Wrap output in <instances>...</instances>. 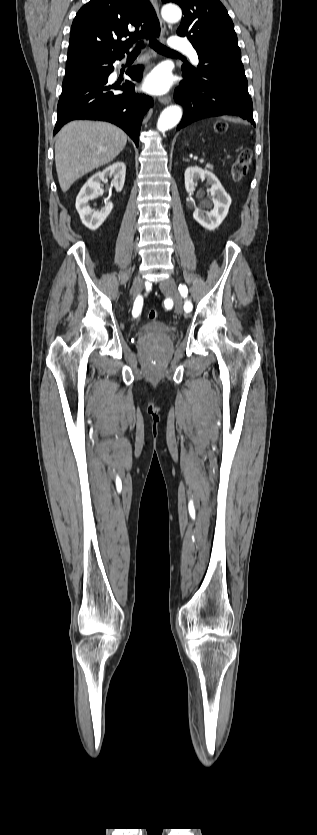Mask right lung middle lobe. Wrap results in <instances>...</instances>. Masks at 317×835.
<instances>
[{
    "label": "right lung middle lobe",
    "instance_id": "1",
    "mask_svg": "<svg viewBox=\"0 0 317 835\" xmlns=\"http://www.w3.org/2000/svg\"><path fill=\"white\" fill-rule=\"evenodd\" d=\"M101 66V63H98L97 65L86 66L83 69H80L76 72L66 74L65 79L63 81V86L77 82L93 80L97 78Z\"/></svg>",
    "mask_w": 317,
    "mask_h": 835
}]
</instances>
